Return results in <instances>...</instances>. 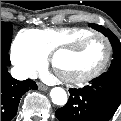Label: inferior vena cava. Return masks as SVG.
Segmentation results:
<instances>
[{
	"instance_id": "602c4592",
	"label": "inferior vena cava",
	"mask_w": 121,
	"mask_h": 121,
	"mask_svg": "<svg viewBox=\"0 0 121 121\" xmlns=\"http://www.w3.org/2000/svg\"><path fill=\"white\" fill-rule=\"evenodd\" d=\"M11 74L14 78L18 80H25L27 78H31V79L37 78V74L34 70H21L17 68H12Z\"/></svg>"
}]
</instances>
